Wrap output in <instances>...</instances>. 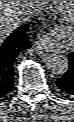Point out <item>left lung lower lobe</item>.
I'll use <instances>...</instances> for the list:
<instances>
[{
  "instance_id": "obj_1",
  "label": "left lung lower lobe",
  "mask_w": 74,
  "mask_h": 122,
  "mask_svg": "<svg viewBox=\"0 0 74 122\" xmlns=\"http://www.w3.org/2000/svg\"><path fill=\"white\" fill-rule=\"evenodd\" d=\"M68 71L56 81L59 92L69 96H74V53L69 56Z\"/></svg>"
}]
</instances>
